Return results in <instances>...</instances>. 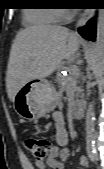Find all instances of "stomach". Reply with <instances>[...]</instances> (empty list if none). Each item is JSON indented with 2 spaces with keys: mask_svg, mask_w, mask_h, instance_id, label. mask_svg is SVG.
<instances>
[{
  "mask_svg": "<svg viewBox=\"0 0 104 169\" xmlns=\"http://www.w3.org/2000/svg\"><path fill=\"white\" fill-rule=\"evenodd\" d=\"M58 103L55 86L45 79H33L15 95L13 107L23 119L36 120L54 110Z\"/></svg>",
  "mask_w": 104,
  "mask_h": 169,
  "instance_id": "obj_1",
  "label": "stomach"
}]
</instances>
